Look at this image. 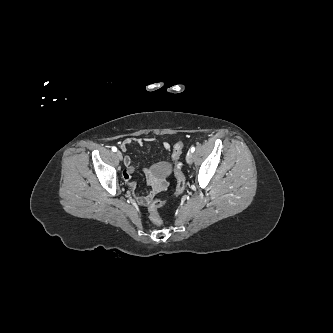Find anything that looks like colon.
Here are the masks:
<instances>
[{
	"mask_svg": "<svg viewBox=\"0 0 333 333\" xmlns=\"http://www.w3.org/2000/svg\"><path fill=\"white\" fill-rule=\"evenodd\" d=\"M183 148H184V143L182 141H178L174 144L172 149V160L175 163V178H176V186L174 192L175 197L180 196L185 189V177L179 163V159L181 157ZM165 204H166L165 201L156 199L152 201L148 207L150 220L156 226H160L162 224V218L159 214V209L162 208Z\"/></svg>",
	"mask_w": 333,
	"mask_h": 333,
	"instance_id": "colon-1",
	"label": "colon"
}]
</instances>
